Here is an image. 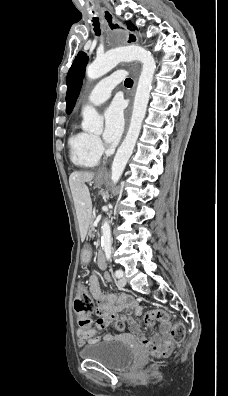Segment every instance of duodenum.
<instances>
[{
    "label": "duodenum",
    "instance_id": "410a0bca",
    "mask_svg": "<svg viewBox=\"0 0 228 396\" xmlns=\"http://www.w3.org/2000/svg\"><path fill=\"white\" fill-rule=\"evenodd\" d=\"M98 265L101 269H104L106 266L105 260L101 256L98 258Z\"/></svg>",
    "mask_w": 228,
    "mask_h": 396
}]
</instances>
